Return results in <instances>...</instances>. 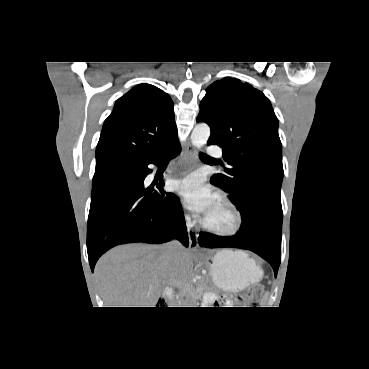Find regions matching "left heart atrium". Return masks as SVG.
<instances>
[{"label":"left heart atrium","instance_id":"1","mask_svg":"<svg viewBox=\"0 0 369 369\" xmlns=\"http://www.w3.org/2000/svg\"><path fill=\"white\" fill-rule=\"evenodd\" d=\"M176 189L182 196L186 206L191 210L206 214L216 202V195L210 188L202 185V182L197 175H191L183 180H180Z\"/></svg>","mask_w":369,"mask_h":369}]
</instances>
